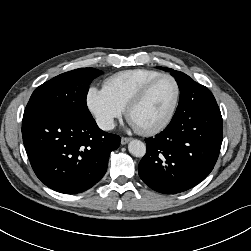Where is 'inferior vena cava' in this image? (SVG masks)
Wrapping results in <instances>:
<instances>
[{"mask_svg": "<svg viewBox=\"0 0 251 251\" xmlns=\"http://www.w3.org/2000/svg\"><path fill=\"white\" fill-rule=\"evenodd\" d=\"M97 124L102 130H112L115 127L111 118H99Z\"/></svg>", "mask_w": 251, "mask_h": 251, "instance_id": "602c4592", "label": "inferior vena cava"}]
</instances>
